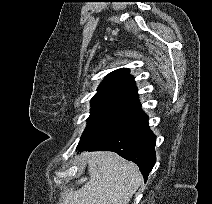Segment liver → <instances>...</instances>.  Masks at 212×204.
<instances>
[{
	"instance_id": "1",
	"label": "liver",
	"mask_w": 212,
	"mask_h": 204,
	"mask_svg": "<svg viewBox=\"0 0 212 204\" xmlns=\"http://www.w3.org/2000/svg\"><path fill=\"white\" fill-rule=\"evenodd\" d=\"M90 180L79 190H67L59 204H129L143 182L137 165L113 152L83 154Z\"/></svg>"
}]
</instances>
